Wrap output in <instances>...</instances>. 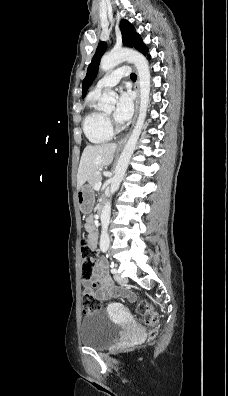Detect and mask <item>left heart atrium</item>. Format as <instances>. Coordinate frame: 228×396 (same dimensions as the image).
<instances>
[{
  "mask_svg": "<svg viewBox=\"0 0 228 396\" xmlns=\"http://www.w3.org/2000/svg\"><path fill=\"white\" fill-rule=\"evenodd\" d=\"M134 109L133 96L128 91H121L114 113V118L118 123H125L132 117Z\"/></svg>",
  "mask_w": 228,
  "mask_h": 396,
  "instance_id": "left-heart-atrium-1",
  "label": "left heart atrium"
}]
</instances>
